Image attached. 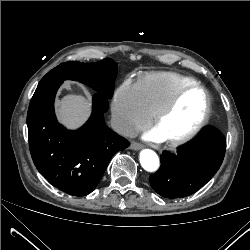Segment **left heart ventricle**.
<instances>
[{
    "label": "left heart ventricle",
    "mask_w": 250,
    "mask_h": 250,
    "mask_svg": "<svg viewBox=\"0 0 250 250\" xmlns=\"http://www.w3.org/2000/svg\"><path fill=\"white\" fill-rule=\"evenodd\" d=\"M204 111V96L200 90L184 93L175 108L153 129L154 134L166 140L189 131L200 119Z\"/></svg>",
    "instance_id": "b2bd125f"
}]
</instances>
